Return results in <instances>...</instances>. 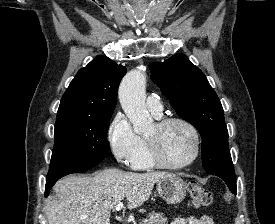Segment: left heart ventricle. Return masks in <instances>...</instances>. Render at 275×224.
Masks as SVG:
<instances>
[{"instance_id":"1","label":"left heart ventricle","mask_w":275,"mask_h":224,"mask_svg":"<svg viewBox=\"0 0 275 224\" xmlns=\"http://www.w3.org/2000/svg\"><path fill=\"white\" fill-rule=\"evenodd\" d=\"M146 136L157 140L163 156L170 163H184L194 153L193 135L181 123H171L162 130L154 125Z\"/></svg>"}]
</instances>
